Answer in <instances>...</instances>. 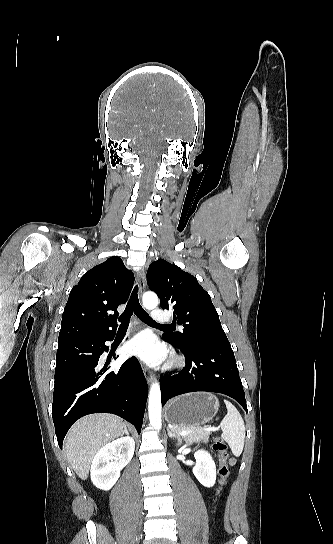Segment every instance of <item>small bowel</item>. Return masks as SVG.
Instances as JSON below:
<instances>
[{"label":"small bowel","instance_id":"obj_1","mask_svg":"<svg viewBox=\"0 0 333 544\" xmlns=\"http://www.w3.org/2000/svg\"><path fill=\"white\" fill-rule=\"evenodd\" d=\"M230 463H231V464H233V463H234V460H233V459H231Z\"/></svg>","mask_w":333,"mask_h":544}]
</instances>
